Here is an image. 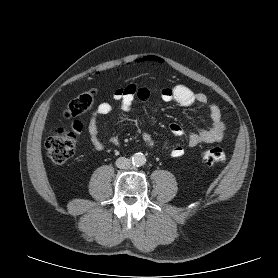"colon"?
Masks as SVG:
<instances>
[{
    "mask_svg": "<svg viewBox=\"0 0 278 278\" xmlns=\"http://www.w3.org/2000/svg\"><path fill=\"white\" fill-rule=\"evenodd\" d=\"M93 104V91L80 94L68 104L64 116L72 121L71 125L69 128H59L45 141L47 155L54 164L62 165L73 156L77 136L82 130L78 118L91 110ZM202 159L208 165L222 163L225 161V152L220 147L209 148L204 151Z\"/></svg>",
    "mask_w": 278,
    "mask_h": 278,
    "instance_id": "colon-1",
    "label": "colon"
}]
</instances>
